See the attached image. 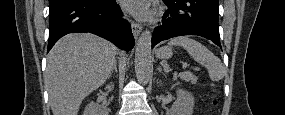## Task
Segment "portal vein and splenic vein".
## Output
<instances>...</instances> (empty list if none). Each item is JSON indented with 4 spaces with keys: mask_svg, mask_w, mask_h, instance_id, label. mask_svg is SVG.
Listing matches in <instances>:
<instances>
[{
    "mask_svg": "<svg viewBox=\"0 0 285 115\" xmlns=\"http://www.w3.org/2000/svg\"><path fill=\"white\" fill-rule=\"evenodd\" d=\"M188 66L186 62H183V68L185 69Z\"/></svg>",
    "mask_w": 285,
    "mask_h": 115,
    "instance_id": "portal-vein-and-splenic-vein-1",
    "label": "portal vein and splenic vein"
}]
</instances>
